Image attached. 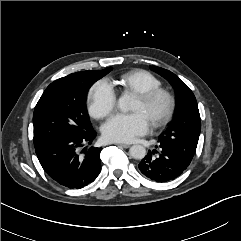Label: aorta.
<instances>
[{
    "label": "aorta",
    "mask_w": 241,
    "mask_h": 241,
    "mask_svg": "<svg viewBox=\"0 0 241 241\" xmlns=\"http://www.w3.org/2000/svg\"><path fill=\"white\" fill-rule=\"evenodd\" d=\"M119 108L124 111H130L133 107V98L129 95H122L118 100ZM129 154L132 158L141 160L146 155V149L142 145H133L129 149Z\"/></svg>",
    "instance_id": "obj_1"
}]
</instances>
